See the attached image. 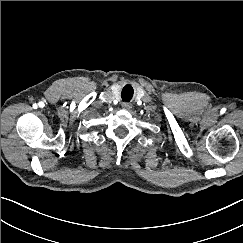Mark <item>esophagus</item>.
<instances>
[{"label": "esophagus", "mask_w": 243, "mask_h": 243, "mask_svg": "<svg viewBox=\"0 0 243 243\" xmlns=\"http://www.w3.org/2000/svg\"><path fill=\"white\" fill-rule=\"evenodd\" d=\"M122 107H123L124 109H130V108H131V104H130V103H127V102H124V103L122 104Z\"/></svg>", "instance_id": "1"}]
</instances>
